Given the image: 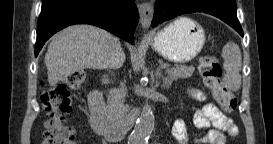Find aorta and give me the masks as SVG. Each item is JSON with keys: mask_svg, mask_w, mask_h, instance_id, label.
I'll use <instances>...</instances> for the list:
<instances>
[{"mask_svg": "<svg viewBox=\"0 0 273 144\" xmlns=\"http://www.w3.org/2000/svg\"><path fill=\"white\" fill-rule=\"evenodd\" d=\"M154 128V114L148 102L144 104L131 135L132 144H147Z\"/></svg>", "mask_w": 273, "mask_h": 144, "instance_id": "762f6f07", "label": "aorta"}]
</instances>
